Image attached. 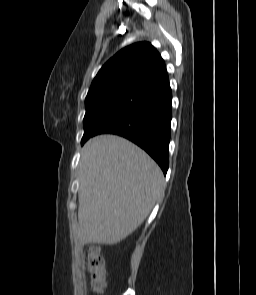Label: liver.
<instances>
[{"label":"liver","mask_w":256,"mask_h":295,"mask_svg":"<svg viewBox=\"0 0 256 295\" xmlns=\"http://www.w3.org/2000/svg\"><path fill=\"white\" fill-rule=\"evenodd\" d=\"M80 244H116L147 218L164 189L156 162L130 141L100 135L84 145L78 166Z\"/></svg>","instance_id":"liver-1"}]
</instances>
